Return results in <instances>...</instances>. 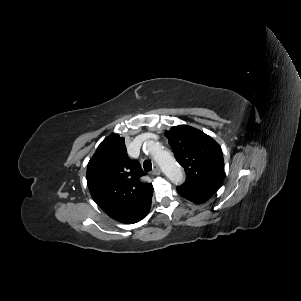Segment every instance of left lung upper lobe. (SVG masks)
<instances>
[{"label": "left lung upper lobe", "mask_w": 301, "mask_h": 301, "mask_svg": "<svg viewBox=\"0 0 301 301\" xmlns=\"http://www.w3.org/2000/svg\"><path fill=\"white\" fill-rule=\"evenodd\" d=\"M165 136L186 172V181L181 187L215 193L224 172L222 150L217 142L187 125L174 126Z\"/></svg>", "instance_id": "5c2ea615"}]
</instances>
